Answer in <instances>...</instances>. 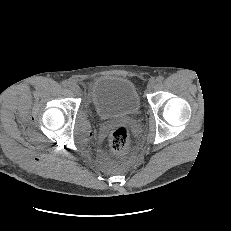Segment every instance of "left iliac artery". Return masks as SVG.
Segmentation results:
<instances>
[{"label":"left iliac artery","mask_w":231,"mask_h":231,"mask_svg":"<svg viewBox=\"0 0 231 231\" xmlns=\"http://www.w3.org/2000/svg\"><path fill=\"white\" fill-rule=\"evenodd\" d=\"M156 80H157V82L162 83L163 80H164V77L163 76H158Z\"/></svg>","instance_id":"obj_1"}]
</instances>
